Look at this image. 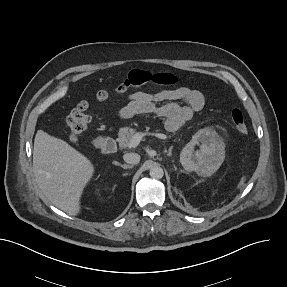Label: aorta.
<instances>
[{
  "mask_svg": "<svg viewBox=\"0 0 287 287\" xmlns=\"http://www.w3.org/2000/svg\"><path fill=\"white\" fill-rule=\"evenodd\" d=\"M150 177L153 179H161L164 175L163 169L159 166H153L150 169Z\"/></svg>",
  "mask_w": 287,
  "mask_h": 287,
  "instance_id": "762f6f07",
  "label": "aorta"
}]
</instances>
